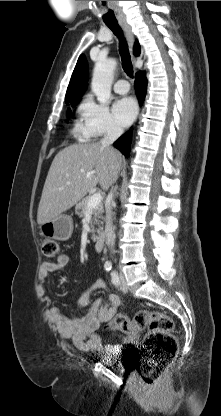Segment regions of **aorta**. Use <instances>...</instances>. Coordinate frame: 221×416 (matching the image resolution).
I'll list each match as a JSON object with an SVG mask.
<instances>
[{
    "mask_svg": "<svg viewBox=\"0 0 221 416\" xmlns=\"http://www.w3.org/2000/svg\"><path fill=\"white\" fill-rule=\"evenodd\" d=\"M116 65L117 62L114 59L98 61L95 64L91 89L100 103H107L111 97V85Z\"/></svg>",
    "mask_w": 221,
    "mask_h": 416,
    "instance_id": "1",
    "label": "aorta"
}]
</instances>
